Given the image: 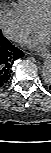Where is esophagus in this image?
Listing matches in <instances>:
<instances>
[{"label":"esophagus","instance_id":"1","mask_svg":"<svg viewBox=\"0 0 51 153\" xmlns=\"http://www.w3.org/2000/svg\"><path fill=\"white\" fill-rule=\"evenodd\" d=\"M49 56H50V54L49 53H46V52H44V53L41 54V57L42 58H49Z\"/></svg>","mask_w":51,"mask_h":153}]
</instances>
